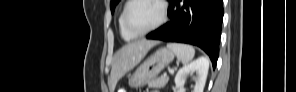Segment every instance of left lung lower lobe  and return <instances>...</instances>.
Masks as SVG:
<instances>
[{
    "mask_svg": "<svg viewBox=\"0 0 296 92\" xmlns=\"http://www.w3.org/2000/svg\"><path fill=\"white\" fill-rule=\"evenodd\" d=\"M170 21L149 33L148 39L196 45L215 68L223 18V0H169Z\"/></svg>",
    "mask_w": 296,
    "mask_h": 92,
    "instance_id": "obj_1",
    "label": "left lung lower lobe"
}]
</instances>
